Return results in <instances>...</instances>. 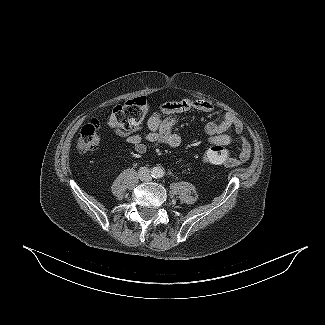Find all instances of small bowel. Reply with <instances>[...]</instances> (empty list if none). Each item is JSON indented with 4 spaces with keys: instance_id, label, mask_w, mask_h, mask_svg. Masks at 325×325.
Listing matches in <instances>:
<instances>
[{
    "instance_id": "1",
    "label": "small bowel",
    "mask_w": 325,
    "mask_h": 325,
    "mask_svg": "<svg viewBox=\"0 0 325 325\" xmlns=\"http://www.w3.org/2000/svg\"><path fill=\"white\" fill-rule=\"evenodd\" d=\"M214 109L212 103L198 99L166 102L161 106L158 113L153 114L148 119V133L146 135L139 134L142 129L140 125L125 131L114 129V132L127 144L131 145L139 155L144 154L148 149L158 145L178 147L182 144V138L174 131L177 116L192 110L211 113ZM229 130L236 132L240 144L238 160L232 159L229 164H237L248 160L251 153L250 144L242 136V124L233 114L227 113L220 120L210 121L206 124L205 132L208 136L209 144L213 146L230 144L233 139L227 134Z\"/></svg>"
}]
</instances>
